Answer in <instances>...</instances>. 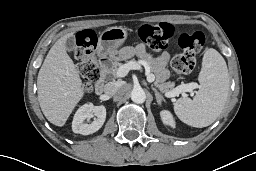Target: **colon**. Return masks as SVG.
Instances as JSON below:
<instances>
[{
	"instance_id": "colon-1",
	"label": "colon",
	"mask_w": 256,
	"mask_h": 171,
	"mask_svg": "<svg viewBox=\"0 0 256 171\" xmlns=\"http://www.w3.org/2000/svg\"><path fill=\"white\" fill-rule=\"evenodd\" d=\"M175 27L169 23H143L138 30L141 41L153 50H163L175 36ZM96 36L91 30H83L76 37L75 55L83 87L91 91L100 78V69L94 59ZM205 43L201 31L182 33L178 37L181 53L172 58L171 66L177 74H190L196 66V56Z\"/></svg>"
}]
</instances>
